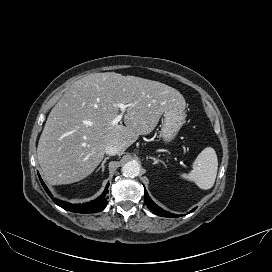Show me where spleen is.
Returning <instances> with one entry per match:
<instances>
[{"instance_id":"3e777b00","label":"spleen","mask_w":272,"mask_h":272,"mask_svg":"<svg viewBox=\"0 0 272 272\" xmlns=\"http://www.w3.org/2000/svg\"><path fill=\"white\" fill-rule=\"evenodd\" d=\"M218 170V159L212 147L201 151L193 163L189 174L182 173L181 178L194 182L199 188L207 190L213 187Z\"/></svg>"}]
</instances>
